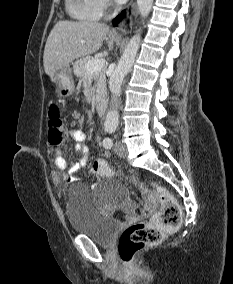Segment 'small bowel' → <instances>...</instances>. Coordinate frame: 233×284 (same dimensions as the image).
I'll return each instance as SVG.
<instances>
[{
  "label": "small bowel",
  "mask_w": 233,
  "mask_h": 284,
  "mask_svg": "<svg viewBox=\"0 0 233 284\" xmlns=\"http://www.w3.org/2000/svg\"><path fill=\"white\" fill-rule=\"evenodd\" d=\"M69 134L76 141L75 150L77 153L82 155V158L77 162H69L61 151H57L54 159V166L57 170L55 180L58 183H60L61 181H75L76 173L87 164V155L89 148L85 143V133L81 130H71ZM90 173L98 175L92 170V168L90 169Z\"/></svg>",
  "instance_id": "1"
}]
</instances>
